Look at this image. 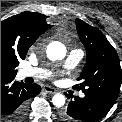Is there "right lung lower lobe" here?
Instances as JSON below:
<instances>
[{"instance_id": "1", "label": "right lung lower lobe", "mask_w": 122, "mask_h": 122, "mask_svg": "<svg viewBox=\"0 0 122 122\" xmlns=\"http://www.w3.org/2000/svg\"><path fill=\"white\" fill-rule=\"evenodd\" d=\"M41 91L37 84L19 83L15 77L1 75V122H21L26 114L27 100Z\"/></svg>"}]
</instances>
